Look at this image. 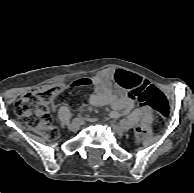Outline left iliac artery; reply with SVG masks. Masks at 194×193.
Wrapping results in <instances>:
<instances>
[{"instance_id":"left-iliac-artery-1","label":"left iliac artery","mask_w":194,"mask_h":193,"mask_svg":"<svg viewBox=\"0 0 194 193\" xmlns=\"http://www.w3.org/2000/svg\"><path fill=\"white\" fill-rule=\"evenodd\" d=\"M125 123H126V120L125 119L121 120V124L122 125L125 124Z\"/></svg>"}]
</instances>
